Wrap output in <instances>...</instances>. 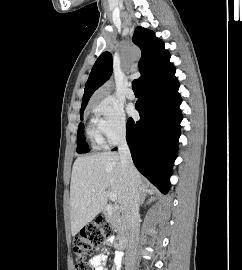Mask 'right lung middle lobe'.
Segmentation results:
<instances>
[{
    "instance_id": "1",
    "label": "right lung middle lobe",
    "mask_w": 242,
    "mask_h": 270,
    "mask_svg": "<svg viewBox=\"0 0 242 270\" xmlns=\"http://www.w3.org/2000/svg\"><path fill=\"white\" fill-rule=\"evenodd\" d=\"M85 108H81L80 111V118L83 120V112ZM77 152L78 153H87L89 152V148L85 142L84 137V125L80 123L78 126V133H77Z\"/></svg>"
}]
</instances>
